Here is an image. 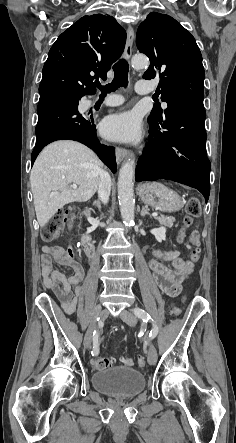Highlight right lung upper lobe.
Segmentation results:
<instances>
[{
  "instance_id": "1",
  "label": "right lung upper lobe",
  "mask_w": 236,
  "mask_h": 443,
  "mask_svg": "<svg viewBox=\"0 0 236 443\" xmlns=\"http://www.w3.org/2000/svg\"><path fill=\"white\" fill-rule=\"evenodd\" d=\"M125 40V30L112 16L80 18L51 47L39 93L59 92L73 97L94 94L92 75L106 77L122 54Z\"/></svg>"
}]
</instances>
